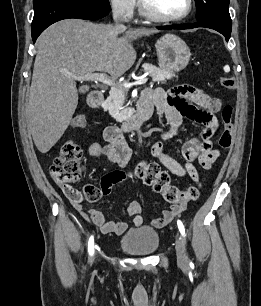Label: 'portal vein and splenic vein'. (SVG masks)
<instances>
[{
	"label": "portal vein and splenic vein",
	"mask_w": 261,
	"mask_h": 306,
	"mask_svg": "<svg viewBox=\"0 0 261 306\" xmlns=\"http://www.w3.org/2000/svg\"><path fill=\"white\" fill-rule=\"evenodd\" d=\"M70 78L73 80H77V81H99L105 85L111 86L112 88L118 85H122L123 87L129 88L133 85L145 84L148 81V78H143V79H140L132 83H128V82L119 83L115 79L109 77L105 73H89V74L79 75V76L71 75Z\"/></svg>",
	"instance_id": "1"
}]
</instances>
